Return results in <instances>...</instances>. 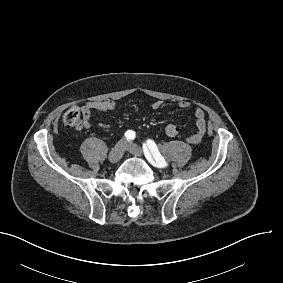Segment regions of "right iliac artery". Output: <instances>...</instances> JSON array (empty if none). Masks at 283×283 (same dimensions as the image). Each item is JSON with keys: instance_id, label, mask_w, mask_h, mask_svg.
I'll return each instance as SVG.
<instances>
[{"instance_id": "1", "label": "right iliac artery", "mask_w": 283, "mask_h": 283, "mask_svg": "<svg viewBox=\"0 0 283 283\" xmlns=\"http://www.w3.org/2000/svg\"><path fill=\"white\" fill-rule=\"evenodd\" d=\"M125 137L127 138V140H133L135 138V132L128 130L125 132Z\"/></svg>"}]
</instances>
